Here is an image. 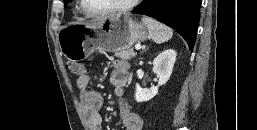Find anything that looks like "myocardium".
Listing matches in <instances>:
<instances>
[{
	"mask_svg": "<svg viewBox=\"0 0 257 130\" xmlns=\"http://www.w3.org/2000/svg\"><path fill=\"white\" fill-rule=\"evenodd\" d=\"M139 1L140 0H129L128 2H126L122 5H119V6H116V7L110 8L108 10L101 11V12H95V11L90 10L88 8V6L86 5V0H80V4H81L83 11L86 14H88L92 17H103V16L112 15V14L126 12L128 10H131L139 3Z\"/></svg>",
	"mask_w": 257,
	"mask_h": 130,
	"instance_id": "f54148a6",
	"label": "myocardium"
}]
</instances>
